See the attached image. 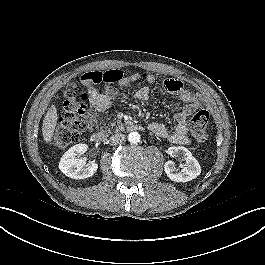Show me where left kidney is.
Instances as JSON below:
<instances>
[{
    "mask_svg": "<svg viewBox=\"0 0 265 265\" xmlns=\"http://www.w3.org/2000/svg\"><path fill=\"white\" fill-rule=\"evenodd\" d=\"M167 153L171 157H181L186 162L182 165L181 171L175 167V163L171 160L164 164V170L167 176L174 182H188L195 179L201 173V167L191 152L182 146H173L168 148Z\"/></svg>",
    "mask_w": 265,
    "mask_h": 265,
    "instance_id": "1",
    "label": "left kidney"
}]
</instances>
